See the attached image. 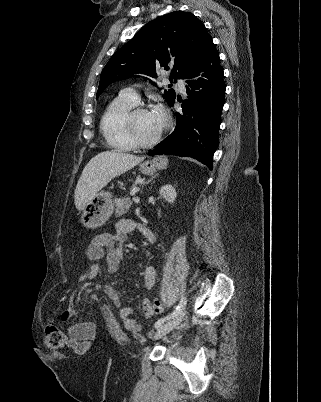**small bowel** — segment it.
Listing matches in <instances>:
<instances>
[{
	"label": "small bowel",
	"mask_w": 321,
	"mask_h": 402,
	"mask_svg": "<svg viewBox=\"0 0 321 402\" xmlns=\"http://www.w3.org/2000/svg\"><path fill=\"white\" fill-rule=\"evenodd\" d=\"M138 231L149 243L155 242V233L145 225L131 219H121L116 223L114 232L101 233L95 236L87 247L86 255L90 260L89 264L80 276L81 281L93 280L101 269L100 260L106 258L107 272L109 275L116 272L123 260L122 244L129 234ZM144 283L147 288L154 287L157 277L155 266L149 265L144 270ZM105 294L118 309V315L123 320L126 329L137 332L140 326L137 319L132 316V309L124 306L118 291L108 284L105 287ZM144 315L151 317L153 310L150 300L145 298L141 302ZM75 315L73 305H68L61 313V320L68 324V346L72 349L73 358H84L85 352L90 349V335H95L98 323L91 320L85 323H71Z\"/></svg>",
	"instance_id": "c3829d8e"
}]
</instances>
